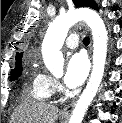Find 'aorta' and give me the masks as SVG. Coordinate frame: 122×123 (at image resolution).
Returning <instances> with one entry per match:
<instances>
[{"mask_svg": "<svg viewBox=\"0 0 122 123\" xmlns=\"http://www.w3.org/2000/svg\"><path fill=\"white\" fill-rule=\"evenodd\" d=\"M85 21L93 35V68L89 82L80 96L69 123H81L94 99L104 74L107 55V31L103 20L92 9L80 8L56 17L50 25L42 45V56L46 68L54 75L63 72L64 59L60 51L68 30L78 21Z\"/></svg>", "mask_w": 122, "mask_h": 123, "instance_id": "aorta-1", "label": "aorta"}]
</instances>
